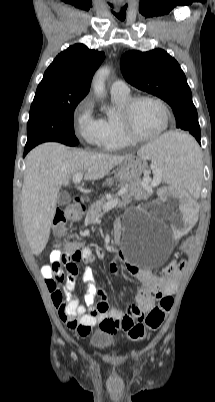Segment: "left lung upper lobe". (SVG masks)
Instances as JSON below:
<instances>
[{
  "mask_svg": "<svg viewBox=\"0 0 215 402\" xmlns=\"http://www.w3.org/2000/svg\"><path fill=\"white\" fill-rule=\"evenodd\" d=\"M125 80L136 88L158 96L173 109L176 127L200 139L197 110L178 62L162 49L128 51L121 58Z\"/></svg>",
  "mask_w": 215,
  "mask_h": 402,
  "instance_id": "1",
  "label": "left lung upper lobe"
}]
</instances>
